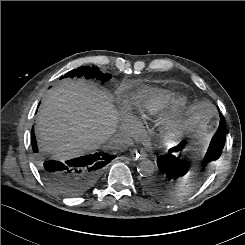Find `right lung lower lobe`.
<instances>
[{
  "instance_id": "1",
  "label": "right lung lower lobe",
  "mask_w": 245,
  "mask_h": 245,
  "mask_svg": "<svg viewBox=\"0 0 245 245\" xmlns=\"http://www.w3.org/2000/svg\"><path fill=\"white\" fill-rule=\"evenodd\" d=\"M31 144L41 175L54 191L65 197H77L88 192L98 181L103 167L116 157L95 153L67 161L45 159L38 150L33 130Z\"/></svg>"
}]
</instances>
